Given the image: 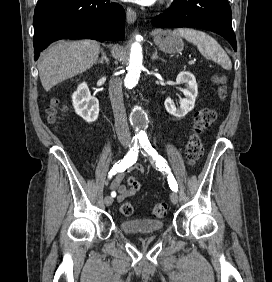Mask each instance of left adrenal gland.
<instances>
[{
  "mask_svg": "<svg viewBox=\"0 0 272 282\" xmlns=\"http://www.w3.org/2000/svg\"><path fill=\"white\" fill-rule=\"evenodd\" d=\"M151 59H152L153 61H154V60H157V59H159V60H161V61H165L164 59H162V58H160V57L158 56V51H157V49H155V51H154V53H153Z\"/></svg>",
  "mask_w": 272,
  "mask_h": 282,
  "instance_id": "1",
  "label": "left adrenal gland"
}]
</instances>
